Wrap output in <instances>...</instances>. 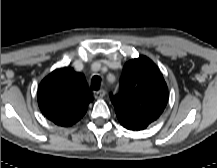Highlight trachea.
Listing matches in <instances>:
<instances>
[{"label":"trachea","instance_id":"3493384b","mask_svg":"<svg viewBox=\"0 0 217 168\" xmlns=\"http://www.w3.org/2000/svg\"><path fill=\"white\" fill-rule=\"evenodd\" d=\"M100 81H101V78L99 76H94L92 78L91 88L93 90L97 91L99 89V87H100Z\"/></svg>","mask_w":217,"mask_h":168}]
</instances>
